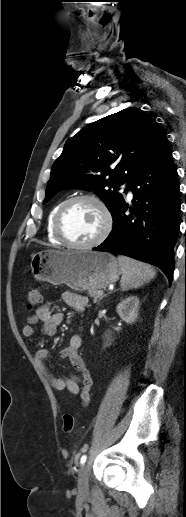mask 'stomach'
I'll list each match as a JSON object with an SVG mask.
<instances>
[{
	"label": "stomach",
	"instance_id": "stomach-1",
	"mask_svg": "<svg viewBox=\"0 0 186 517\" xmlns=\"http://www.w3.org/2000/svg\"><path fill=\"white\" fill-rule=\"evenodd\" d=\"M34 278L75 291L98 290L116 282L122 273L117 259L105 252L46 250L32 255Z\"/></svg>",
	"mask_w": 186,
	"mask_h": 517
}]
</instances>
